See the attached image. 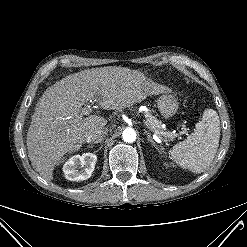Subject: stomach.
<instances>
[{
    "mask_svg": "<svg viewBox=\"0 0 247 247\" xmlns=\"http://www.w3.org/2000/svg\"><path fill=\"white\" fill-rule=\"evenodd\" d=\"M158 110L164 118H170L178 109V102L172 95L164 94L157 101Z\"/></svg>",
    "mask_w": 247,
    "mask_h": 247,
    "instance_id": "stomach-1",
    "label": "stomach"
}]
</instances>
